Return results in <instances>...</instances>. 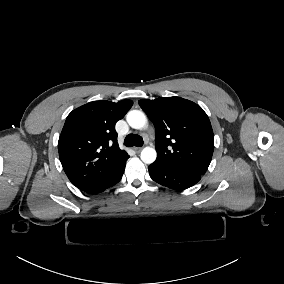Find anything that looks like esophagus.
<instances>
[{"label":"esophagus","instance_id":"1","mask_svg":"<svg viewBox=\"0 0 284 284\" xmlns=\"http://www.w3.org/2000/svg\"><path fill=\"white\" fill-rule=\"evenodd\" d=\"M134 151H136L137 153H139L142 149V147H133Z\"/></svg>","mask_w":284,"mask_h":284}]
</instances>
